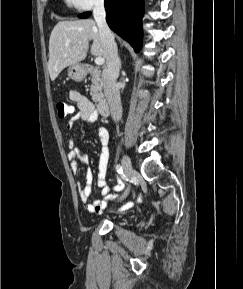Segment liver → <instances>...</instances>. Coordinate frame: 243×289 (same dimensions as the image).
Instances as JSON below:
<instances>
[{
  "label": "liver",
  "instance_id": "1",
  "mask_svg": "<svg viewBox=\"0 0 243 289\" xmlns=\"http://www.w3.org/2000/svg\"><path fill=\"white\" fill-rule=\"evenodd\" d=\"M90 41H93L91 54L104 56L99 29L92 19L59 21L55 25L49 40L48 71L52 81L64 68L86 58ZM66 43H69V46H65Z\"/></svg>",
  "mask_w": 243,
  "mask_h": 289
}]
</instances>
